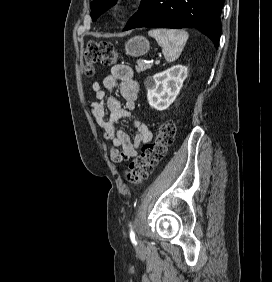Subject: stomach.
Returning a JSON list of instances; mask_svg holds the SVG:
<instances>
[{
	"mask_svg": "<svg viewBox=\"0 0 272 282\" xmlns=\"http://www.w3.org/2000/svg\"><path fill=\"white\" fill-rule=\"evenodd\" d=\"M150 49L149 41L143 36H135L125 43L127 55L138 57L146 54Z\"/></svg>",
	"mask_w": 272,
	"mask_h": 282,
	"instance_id": "stomach-1",
	"label": "stomach"
}]
</instances>
